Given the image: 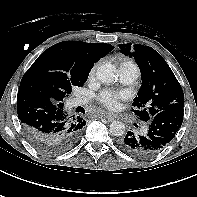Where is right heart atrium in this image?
<instances>
[{"instance_id":"1","label":"right heart atrium","mask_w":197,"mask_h":197,"mask_svg":"<svg viewBox=\"0 0 197 197\" xmlns=\"http://www.w3.org/2000/svg\"><path fill=\"white\" fill-rule=\"evenodd\" d=\"M95 69H96V66H94V67L92 68V70H91V72H90V75H91V76H93V75H94V73H95Z\"/></svg>"}]
</instances>
